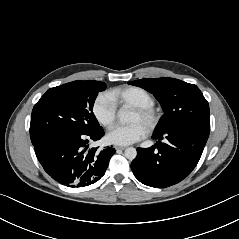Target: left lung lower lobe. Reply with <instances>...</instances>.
<instances>
[{
    "mask_svg": "<svg viewBox=\"0 0 239 239\" xmlns=\"http://www.w3.org/2000/svg\"><path fill=\"white\" fill-rule=\"evenodd\" d=\"M210 129L182 126L163 133H153L157 143L150 148H138L131 164L135 177L143 184L165 188L182 181L197 165ZM168 140L162 143L163 138Z\"/></svg>",
    "mask_w": 239,
    "mask_h": 239,
    "instance_id": "1",
    "label": "left lung lower lobe"
}]
</instances>
